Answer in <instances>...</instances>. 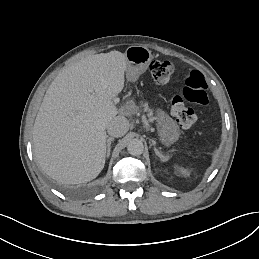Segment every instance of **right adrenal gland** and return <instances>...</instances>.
Instances as JSON below:
<instances>
[{
  "mask_svg": "<svg viewBox=\"0 0 259 259\" xmlns=\"http://www.w3.org/2000/svg\"><path fill=\"white\" fill-rule=\"evenodd\" d=\"M111 141H113V138H108L107 139V149H108V152L110 151V144H111Z\"/></svg>",
  "mask_w": 259,
  "mask_h": 259,
  "instance_id": "2a0ac1e0",
  "label": "right adrenal gland"
}]
</instances>
